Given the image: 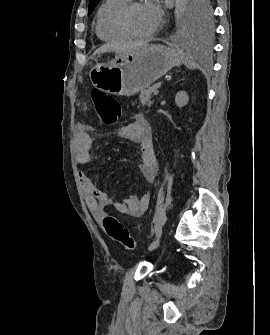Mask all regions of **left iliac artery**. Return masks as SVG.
<instances>
[{"mask_svg":"<svg viewBox=\"0 0 270 335\" xmlns=\"http://www.w3.org/2000/svg\"><path fill=\"white\" fill-rule=\"evenodd\" d=\"M162 226L163 223L159 220L155 223V233L157 238L161 237L162 235Z\"/></svg>","mask_w":270,"mask_h":335,"instance_id":"left-iliac-artery-1","label":"left iliac artery"}]
</instances>
